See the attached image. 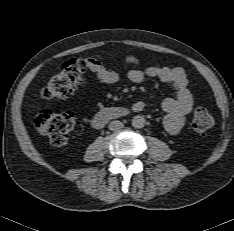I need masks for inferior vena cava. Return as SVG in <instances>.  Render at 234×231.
<instances>
[{
	"mask_svg": "<svg viewBox=\"0 0 234 231\" xmlns=\"http://www.w3.org/2000/svg\"><path fill=\"white\" fill-rule=\"evenodd\" d=\"M123 126V123L118 120H114L109 123V129L112 131H119L123 128Z\"/></svg>",
	"mask_w": 234,
	"mask_h": 231,
	"instance_id": "inferior-vena-cava-1",
	"label": "inferior vena cava"
}]
</instances>
